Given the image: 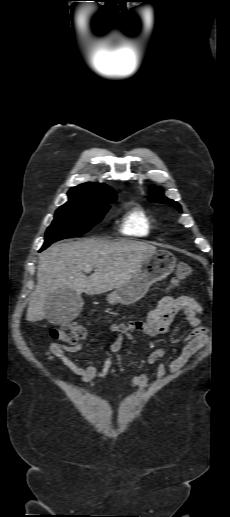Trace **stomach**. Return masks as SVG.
<instances>
[{
  "instance_id": "obj_1",
  "label": "stomach",
  "mask_w": 230,
  "mask_h": 517,
  "mask_svg": "<svg viewBox=\"0 0 230 517\" xmlns=\"http://www.w3.org/2000/svg\"><path fill=\"white\" fill-rule=\"evenodd\" d=\"M176 266V258L166 250H157L146 258L141 267L135 271L128 281L108 294L110 304L130 305L140 300L150 286L166 278Z\"/></svg>"
}]
</instances>
